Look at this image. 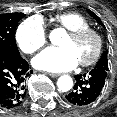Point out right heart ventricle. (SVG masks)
<instances>
[{
	"mask_svg": "<svg viewBox=\"0 0 117 117\" xmlns=\"http://www.w3.org/2000/svg\"><path fill=\"white\" fill-rule=\"evenodd\" d=\"M55 23L67 31H74L90 26L89 21L80 13L65 12L55 15Z\"/></svg>",
	"mask_w": 117,
	"mask_h": 117,
	"instance_id": "obj_1",
	"label": "right heart ventricle"
}]
</instances>
